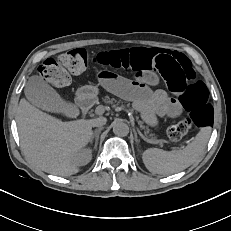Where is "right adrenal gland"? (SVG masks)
Here are the masks:
<instances>
[{
	"label": "right adrenal gland",
	"instance_id": "obj_1",
	"mask_svg": "<svg viewBox=\"0 0 231 231\" xmlns=\"http://www.w3.org/2000/svg\"><path fill=\"white\" fill-rule=\"evenodd\" d=\"M102 129H103V128H99V129L95 130L94 133H93V136H92V138H91V140H90V143L92 144V143H93V140L95 139L94 149L97 148L98 140H99V133L101 132Z\"/></svg>",
	"mask_w": 231,
	"mask_h": 231
}]
</instances>
